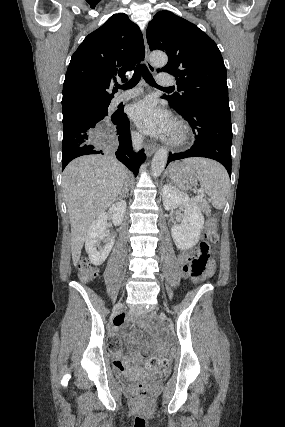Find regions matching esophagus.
<instances>
[{
	"instance_id": "esophagus-1",
	"label": "esophagus",
	"mask_w": 285,
	"mask_h": 427,
	"mask_svg": "<svg viewBox=\"0 0 285 427\" xmlns=\"http://www.w3.org/2000/svg\"><path fill=\"white\" fill-rule=\"evenodd\" d=\"M144 47H145V61H146V65H147V67H148V69H149L150 72L155 73L156 69H155V67L152 65V63L149 60L150 49H149V46H148L145 34H144ZM156 148H157L156 145H154V144H148L146 146V149H145L146 154L149 155V156L152 155L156 151Z\"/></svg>"
}]
</instances>
